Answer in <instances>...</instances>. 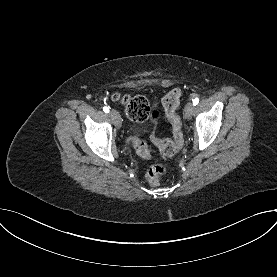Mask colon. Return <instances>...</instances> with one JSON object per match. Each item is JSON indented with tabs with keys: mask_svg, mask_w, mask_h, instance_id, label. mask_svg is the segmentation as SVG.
<instances>
[{
	"mask_svg": "<svg viewBox=\"0 0 277 277\" xmlns=\"http://www.w3.org/2000/svg\"><path fill=\"white\" fill-rule=\"evenodd\" d=\"M181 90L170 91L163 99V107L172 125L174 140L159 139L152 134V141L158 146L164 156H173L183 143L182 124L176 109L179 105ZM114 101L121 103L125 107L129 119L135 122H144L148 119L155 124L160 121V114L156 111L151 112L147 100L142 96H129L117 94L113 97ZM133 145L137 153L143 157L150 156L146 143L140 139H135ZM165 167L156 163L151 165L146 171V180L152 186L159 185L164 177Z\"/></svg>",
	"mask_w": 277,
	"mask_h": 277,
	"instance_id": "1",
	"label": "colon"
}]
</instances>
